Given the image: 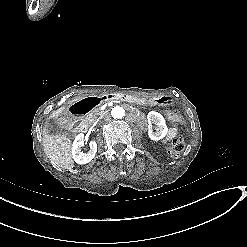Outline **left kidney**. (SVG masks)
Segmentation results:
<instances>
[{
    "instance_id": "1",
    "label": "left kidney",
    "mask_w": 247,
    "mask_h": 247,
    "mask_svg": "<svg viewBox=\"0 0 247 247\" xmlns=\"http://www.w3.org/2000/svg\"><path fill=\"white\" fill-rule=\"evenodd\" d=\"M148 117H149V119L153 118V120L155 121V123L158 126L156 131H150L149 132L150 139L158 141V140L164 138L168 132V128L165 124V120H164L163 116L157 112L152 111L148 114Z\"/></svg>"
}]
</instances>
